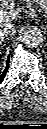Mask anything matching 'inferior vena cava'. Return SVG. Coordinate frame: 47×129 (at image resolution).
<instances>
[{"label": "inferior vena cava", "instance_id": "1", "mask_svg": "<svg viewBox=\"0 0 47 129\" xmlns=\"http://www.w3.org/2000/svg\"><path fill=\"white\" fill-rule=\"evenodd\" d=\"M16 33L14 24L3 22L0 24V37H10Z\"/></svg>", "mask_w": 47, "mask_h": 129}]
</instances>
